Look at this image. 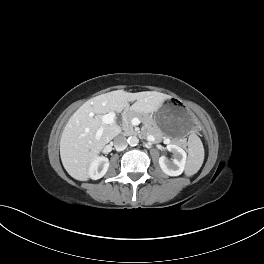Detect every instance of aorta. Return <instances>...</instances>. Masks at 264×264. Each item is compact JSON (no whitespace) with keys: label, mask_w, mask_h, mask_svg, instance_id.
<instances>
[{"label":"aorta","mask_w":264,"mask_h":264,"mask_svg":"<svg viewBox=\"0 0 264 264\" xmlns=\"http://www.w3.org/2000/svg\"><path fill=\"white\" fill-rule=\"evenodd\" d=\"M139 143V139L136 136H130L128 138V144L130 146H136Z\"/></svg>","instance_id":"obj_1"}]
</instances>
